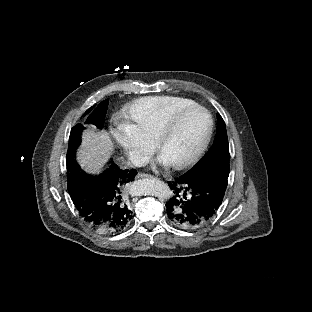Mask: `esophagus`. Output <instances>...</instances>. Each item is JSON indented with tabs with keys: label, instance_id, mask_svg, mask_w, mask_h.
Here are the masks:
<instances>
[{
	"label": "esophagus",
	"instance_id": "34e87169",
	"mask_svg": "<svg viewBox=\"0 0 312 312\" xmlns=\"http://www.w3.org/2000/svg\"><path fill=\"white\" fill-rule=\"evenodd\" d=\"M143 178L154 179V176L147 174V173H138L136 175V179H143Z\"/></svg>",
	"mask_w": 312,
	"mask_h": 312
}]
</instances>
